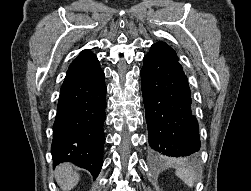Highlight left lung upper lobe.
Wrapping results in <instances>:
<instances>
[{
    "label": "left lung upper lobe",
    "instance_id": "left-lung-upper-lobe-1",
    "mask_svg": "<svg viewBox=\"0 0 251 191\" xmlns=\"http://www.w3.org/2000/svg\"><path fill=\"white\" fill-rule=\"evenodd\" d=\"M151 49H156L158 51H164L167 54H169L170 56H172L173 58L179 60L175 51L171 47H169L167 44H165L164 42L155 43L154 45H152Z\"/></svg>",
    "mask_w": 251,
    "mask_h": 191
}]
</instances>
